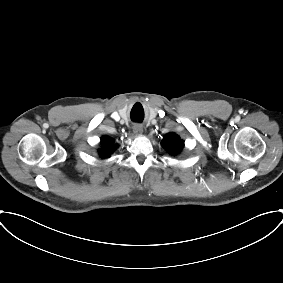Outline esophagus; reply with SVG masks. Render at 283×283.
Returning <instances> with one entry per match:
<instances>
[{"instance_id": "34e87169", "label": "esophagus", "mask_w": 283, "mask_h": 283, "mask_svg": "<svg viewBox=\"0 0 283 283\" xmlns=\"http://www.w3.org/2000/svg\"><path fill=\"white\" fill-rule=\"evenodd\" d=\"M133 131L135 134H142L143 128L141 125H134L133 126Z\"/></svg>"}]
</instances>
